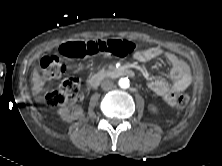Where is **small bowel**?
I'll return each mask as SVG.
<instances>
[{"label": "small bowel", "instance_id": "1", "mask_svg": "<svg viewBox=\"0 0 222 166\" xmlns=\"http://www.w3.org/2000/svg\"><path fill=\"white\" fill-rule=\"evenodd\" d=\"M158 57H164L170 64V78L172 84L169 85L165 80L156 78L149 81L148 87L156 95L161 97L165 103L174 106L176 105L177 94L189 87L191 83V74L183 59L159 47L138 50L134 54V58L140 62H148Z\"/></svg>", "mask_w": 222, "mask_h": 166}]
</instances>
